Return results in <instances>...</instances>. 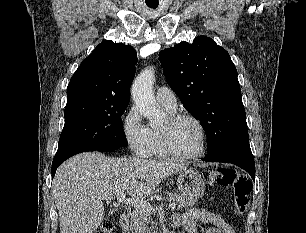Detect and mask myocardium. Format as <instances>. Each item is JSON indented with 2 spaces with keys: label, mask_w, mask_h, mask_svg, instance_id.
Here are the masks:
<instances>
[{
  "label": "myocardium",
  "mask_w": 306,
  "mask_h": 233,
  "mask_svg": "<svg viewBox=\"0 0 306 233\" xmlns=\"http://www.w3.org/2000/svg\"><path fill=\"white\" fill-rule=\"evenodd\" d=\"M182 120L193 121L200 130L201 138H202L201 148L196 153H191V154L182 153V152L178 151L172 143L171 129L175 124H177L178 122H180ZM161 135H162L163 146H164L166 152L169 155L174 156L176 158L196 159V158L202 157L206 152L207 139L208 138H207V132H206L205 126L202 123V121L193 114H190V113H173V114H171L168 118V126L166 128L161 129Z\"/></svg>",
  "instance_id": "f54148a6"
}]
</instances>
